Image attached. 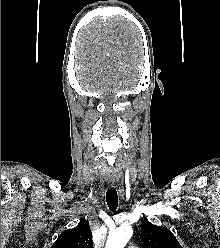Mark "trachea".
<instances>
[{
    "label": "trachea",
    "instance_id": "trachea-1",
    "mask_svg": "<svg viewBox=\"0 0 220 248\" xmlns=\"http://www.w3.org/2000/svg\"><path fill=\"white\" fill-rule=\"evenodd\" d=\"M106 201L109 209L115 212L118 206V195L115 188L108 189L106 192Z\"/></svg>",
    "mask_w": 220,
    "mask_h": 248
}]
</instances>
